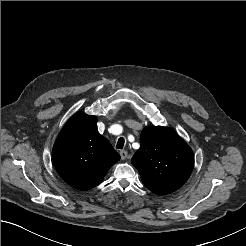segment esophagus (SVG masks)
Segmentation results:
<instances>
[{"mask_svg":"<svg viewBox=\"0 0 246 246\" xmlns=\"http://www.w3.org/2000/svg\"><path fill=\"white\" fill-rule=\"evenodd\" d=\"M119 154L122 160H125L128 157V152L125 150H121Z\"/></svg>","mask_w":246,"mask_h":246,"instance_id":"34e87169","label":"esophagus"}]
</instances>
